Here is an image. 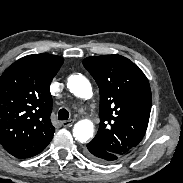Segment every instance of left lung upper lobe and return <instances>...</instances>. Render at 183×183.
<instances>
[{"mask_svg": "<svg viewBox=\"0 0 183 183\" xmlns=\"http://www.w3.org/2000/svg\"><path fill=\"white\" fill-rule=\"evenodd\" d=\"M83 65L100 90V125L91 142L123 156L138 145L148 126L152 101L148 80L121 55L87 57Z\"/></svg>", "mask_w": 183, "mask_h": 183, "instance_id": "5c2ea615", "label": "left lung upper lobe"}]
</instances>
